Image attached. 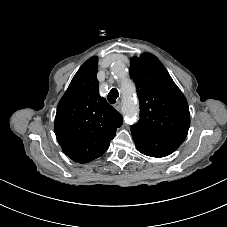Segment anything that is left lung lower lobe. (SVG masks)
<instances>
[{"label":"left lung lower lobe","instance_id":"left-lung-lower-lobe-1","mask_svg":"<svg viewBox=\"0 0 227 227\" xmlns=\"http://www.w3.org/2000/svg\"><path fill=\"white\" fill-rule=\"evenodd\" d=\"M131 133L139 152L151 157H165L173 153L180 144H177L151 130L134 126Z\"/></svg>","mask_w":227,"mask_h":227}]
</instances>
